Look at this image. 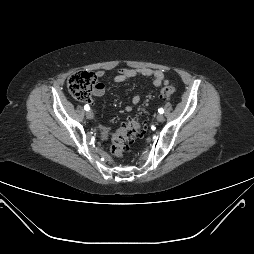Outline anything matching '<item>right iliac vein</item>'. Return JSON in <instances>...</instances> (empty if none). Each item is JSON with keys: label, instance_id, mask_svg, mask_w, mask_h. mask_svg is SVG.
Listing matches in <instances>:
<instances>
[{"label": "right iliac vein", "instance_id": "right-iliac-vein-1", "mask_svg": "<svg viewBox=\"0 0 254 254\" xmlns=\"http://www.w3.org/2000/svg\"><path fill=\"white\" fill-rule=\"evenodd\" d=\"M86 117H87L88 119H93V118H94L93 112H92V111H87V112H86Z\"/></svg>", "mask_w": 254, "mask_h": 254}]
</instances>
